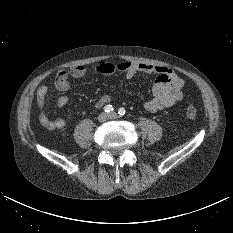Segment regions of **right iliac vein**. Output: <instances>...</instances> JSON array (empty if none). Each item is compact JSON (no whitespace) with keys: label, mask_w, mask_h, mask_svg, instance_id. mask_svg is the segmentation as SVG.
Returning <instances> with one entry per match:
<instances>
[{"label":"right iliac vein","mask_w":233,"mask_h":233,"mask_svg":"<svg viewBox=\"0 0 233 233\" xmlns=\"http://www.w3.org/2000/svg\"><path fill=\"white\" fill-rule=\"evenodd\" d=\"M108 114H106V113H101L99 116H98V120L100 121V122H105L107 119H108Z\"/></svg>","instance_id":"1"}]
</instances>
